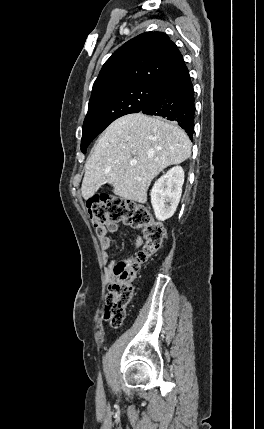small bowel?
Here are the masks:
<instances>
[{"label":"small bowel","mask_w":264,"mask_h":429,"mask_svg":"<svg viewBox=\"0 0 264 429\" xmlns=\"http://www.w3.org/2000/svg\"><path fill=\"white\" fill-rule=\"evenodd\" d=\"M118 229H119L118 224L112 221L106 224L102 233H97L100 246L103 251L102 253L103 260L104 262L108 263L111 266L113 265V261L110 260L109 250L111 249V246H112V240L108 236V233H114L118 231ZM134 244L136 247H140L143 244V238L141 236H137L135 238Z\"/></svg>","instance_id":"small-bowel-1"}]
</instances>
